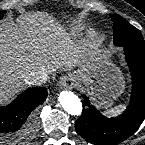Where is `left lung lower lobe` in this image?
Returning a JSON list of instances; mask_svg holds the SVG:
<instances>
[{"mask_svg": "<svg viewBox=\"0 0 145 145\" xmlns=\"http://www.w3.org/2000/svg\"><path fill=\"white\" fill-rule=\"evenodd\" d=\"M124 51L132 75L130 103L120 116L106 118L83 96V113L75 128L90 143H120L130 137L145 119V50L124 46Z\"/></svg>", "mask_w": 145, "mask_h": 145, "instance_id": "0a47b994", "label": "left lung lower lobe"}]
</instances>
